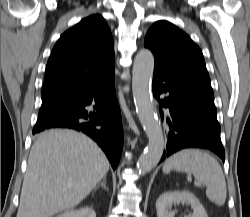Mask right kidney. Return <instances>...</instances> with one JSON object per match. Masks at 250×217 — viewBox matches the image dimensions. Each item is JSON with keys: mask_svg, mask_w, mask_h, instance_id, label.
Masks as SVG:
<instances>
[{"mask_svg": "<svg viewBox=\"0 0 250 217\" xmlns=\"http://www.w3.org/2000/svg\"><path fill=\"white\" fill-rule=\"evenodd\" d=\"M57 217H96V213L90 207H83L78 210H68Z\"/></svg>", "mask_w": 250, "mask_h": 217, "instance_id": "obj_1", "label": "right kidney"}]
</instances>
